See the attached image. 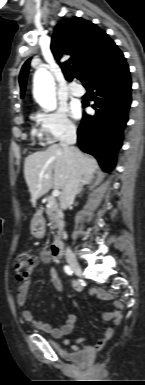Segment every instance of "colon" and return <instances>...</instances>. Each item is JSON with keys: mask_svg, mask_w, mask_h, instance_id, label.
Returning a JSON list of instances; mask_svg holds the SVG:
<instances>
[{"mask_svg": "<svg viewBox=\"0 0 145 385\" xmlns=\"http://www.w3.org/2000/svg\"><path fill=\"white\" fill-rule=\"evenodd\" d=\"M37 265V258L30 253H22L15 264V274L18 280H27L32 275Z\"/></svg>", "mask_w": 145, "mask_h": 385, "instance_id": "colon-1", "label": "colon"}]
</instances>
